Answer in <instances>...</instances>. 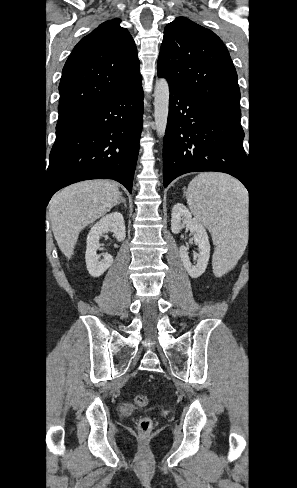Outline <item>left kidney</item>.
<instances>
[{
    "label": "left kidney",
    "mask_w": 297,
    "mask_h": 488,
    "mask_svg": "<svg viewBox=\"0 0 297 488\" xmlns=\"http://www.w3.org/2000/svg\"><path fill=\"white\" fill-rule=\"evenodd\" d=\"M185 226L194 234V242L199 248L197 263L195 265L191 263L188 249L184 245L180 247L179 254L188 274L192 278H198L205 272L210 257L208 234L202 223L197 218L192 217L186 206L178 203L172 209L171 230L174 234H178Z\"/></svg>",
    "instance_id": "1"
}]
</instances>
